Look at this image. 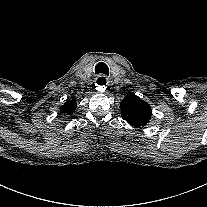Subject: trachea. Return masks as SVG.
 I'll list each match as a JSON object with an SVG mask.
<instances>
[{
	"instance_id": "1",
	"label": "trachea",
	"mask_w": 207,
	"mask_h": 207,
	"mask_svg": "<svg viewBox=\"0 0 207 207\" xmlns=\"http://www.w3.org/2000/svg\"><path fill=\"white\" fill-rule=\"evenodd\" d=\"M95 73L96 74H105L108 75L109 73V68L104 62H99L95 66Z\"/></svg>"
}]
</instances>
